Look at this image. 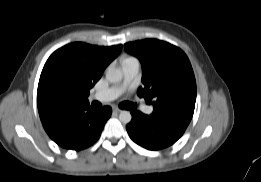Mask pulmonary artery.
<instances>
[{"instance_id":"1","label":"pulmonary artery","mask_w":261,"mask_h":182,"mask_svg":"<svg viewBox=\"0 0 261 182\" xmlns=\"http://www.w3.org/2000/svg\"><path fill=\"white\" fill-rule=\"evenodd\" d=\"M139 62L137 60L129 61L123 64V82L118 87H113L108 90L97 92L90 96V100L99 101L102 103L109 102L118 98L123 91L131 84L134 78L139 72ZM141 110L145 114H151L153 112V107L151 106H142Z\"/></svg>"}]
</instances>
